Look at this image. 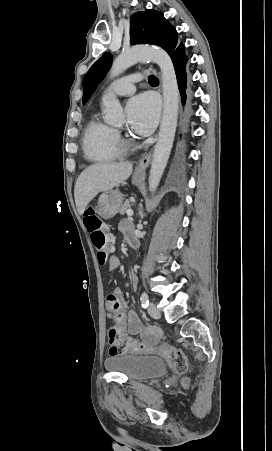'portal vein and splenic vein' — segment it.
I'll return each mask as SVG.
<instances>
[{
  "label": "portal vein and splenic vein",
  "mask_w": 272,
  "mask_h": 451,
  "mask_svg": "<svg viewBox=\"0 0 272 451\" xmlns=\"http://www.w3.org/2000/svg\"><path fill=\"white\" fill-rule=\"evenodd\" d=\"M126 214H127L128 218H131V216H133L132 210H126Z\"/></svg>",
  "instance_id": "1"
}]
</instances>
